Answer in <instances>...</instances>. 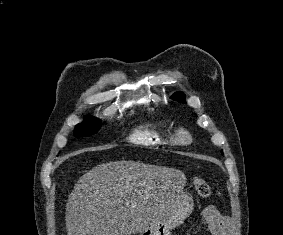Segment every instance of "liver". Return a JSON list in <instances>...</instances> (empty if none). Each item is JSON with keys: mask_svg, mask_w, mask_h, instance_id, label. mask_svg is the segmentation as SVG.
I'll return each mask as SVG.
<instances>
[{"mask_svg": "<svg viewBox=\"0 0 283 235\" xmlns=\"http://www.w3.org/2000/svg\"><path fill=\"white\" fill-rule=\"evenodd\" d=\"M186 183L178 169L135 161L99 164L68 198V235H132L162 218Z\"/></svg>", "mask_w": 283, "mask_h": 235, "instance_id": "obj_1", "label": "liver"}]
</instances>
